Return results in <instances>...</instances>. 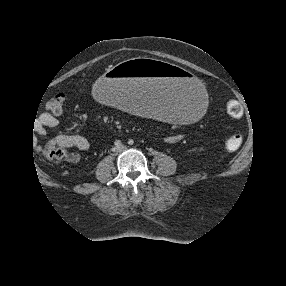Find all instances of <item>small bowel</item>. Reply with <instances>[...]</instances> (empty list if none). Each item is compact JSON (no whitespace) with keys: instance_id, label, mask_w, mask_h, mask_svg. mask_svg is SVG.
Listing matches in <instances>:
<instances>
[{"instance_id":"c3829d8e","label":"small bowel","mask_w":286,"mask_h":286,"mask_svg":"<svg viewBox=\"0 0 286 286\" xmlns=\"http://www.w3.org/2000/svg\"><path fill=\"white\" fill-rule=\"evenodd\" d=\"M58 124V119L51 114L45 113L42 115L40 119V124L37 127L36 131L40 135L46 134L47 128H53ZM181 139L179 134H171L168 135L165 139L166 143L174 144L177 143ZM57 141L61 143L65 147L76 148L81 151L88 150L90 147L89 141L80 135H60L57 137ZM71 160H77V155H72L70 157Z\"/></svg>"}]
</instances>
